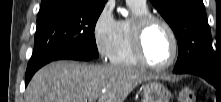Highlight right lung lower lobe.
Here are the masks:
<instances>
[{
    "mask_svg": "<svg viewBox=\"0 0 221 102\" xmlns=\"http://www.w3.org/2000/svg\"><path fill=\"white\" fill-rule=\"evenodd\" d=\"M60 59H72V60H80V61H89L91 59H93V57L84 54V53H79V52H67V53H63L61 55H59L58 57H56L55 59H52L34 69L31 70H27L26 71V81H25V86H27L28 82L30 81V79L32 78L33 74L39 69L41 68L43 65L54 61V60H60Z\"/></svg>",
    "mask_w": 221,
    "mask_h": 102,
    "instance_id": "98d812e1",
    "label": "right lung lower lobe"
}]
</instances>
